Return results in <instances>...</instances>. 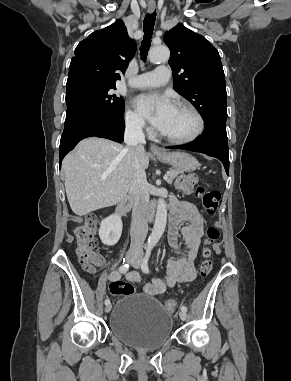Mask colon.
<instances>
[{"label":"colon","instance_id":"1","mask_svg":"<svg viewBox=\"0 0 291 381\" xmlns=\"http://www.w3.org/2000/svg\"><path fill=\"white\" fill-rule=\"evenodd\" d=\"M177 187L186 194H194L201 199L205 212L213 216L218 209L220 199L216 190H206L199 186L195 178L188 176L178 180ZM98 229V219L90 216L86 221L74 228L76 238V255L86 271L89 273L103 264V258L98 253L95 242V235ZM220 237L219 229L214 225H209L206 229L204 248L202 251L203 260L200 264L199 272L202 277L207 276L212 269L211 250L209 246L216 244ZM110 292L115 296L133 295L135 288L132 284L123 281H115L110 284ZM178 304L175 300H168L165 309L168 313H175Z\"/></svg>","mask_w":291,"mask_h":381}]
</instances>
